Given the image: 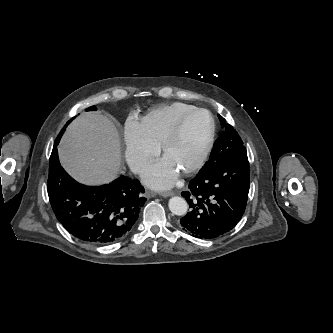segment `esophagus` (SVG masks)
<instances>
[{
	"instance_id": "1",
	"label": "esophagus",
	"mask_w": 333,
	"mask_h": 333,
	"mask_svg": "<svg viewBox=\"0 0 333 333\" xmlns=\"http://www.w3.org/2000/svg\"><path fill=\"white\" fill-rule=\"evenodd\" d=\"M154 195H155V194H153V193H147V196H148V197H154ZM160 195H161L162 197H169V196L174 195V192H172V191H164V192H161Z\"/></svg>"
}]
</instances>
